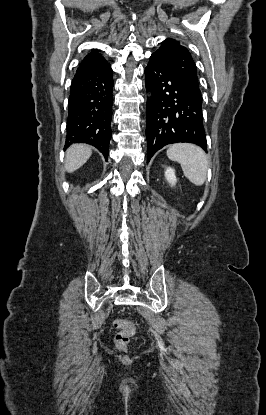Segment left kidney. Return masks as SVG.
<instances>
[{
    "instance_id": "5707ae66",
    "label": "left kidney",
    "mask_w": 266,
    "mask_h": 415,
    "mask_svg": "<svg viewBox=\"0 0 266 415\" xmlns=\"http://www.w3.org/2000/svg\"><path fill=\"white\" fill-rule=\"evenodd\" d=\"M165 178L169 182V184H171V186H174L177 181L175 176V170L171 167H168L165 171Z\"/></svg>"
}]
</instances>
